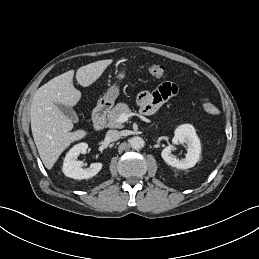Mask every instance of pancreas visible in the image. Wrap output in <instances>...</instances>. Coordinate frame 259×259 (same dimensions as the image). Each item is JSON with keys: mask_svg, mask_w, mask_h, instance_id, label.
Returning <instances> with one entry per match:
<instances>
[{"mask_svg": "<svg viewBox=\"0 0 259 259\" xmlns=\"http://www.w3.org/2000/svg\"><path fill=\"white\" fill-rule=\"evenodd\" d=\"M122 113L130 114L131 109L125 103H118L107 115L109 127L123 128L122 123L117 121Z\"/></svg>", "mask_w": 259, "mask_h": 259, "instance_id": "pancreas-1", "label": "pancreas"}]
</instances>
